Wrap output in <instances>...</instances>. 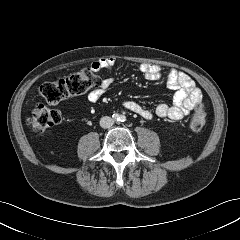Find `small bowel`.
Segmentation results:
<instances>
[{
	"label": "small bowel",
	"instance_id": "1",
	"mask_svg": "<svg viewBox=\"0 0 240 240\" xmlns=\"http://www.w3.org/2000/svg\"><path fill=\"white\" fill-rule=\"evenodd\" d=\"M115 63V58L106 57L92 62L90 68L93 71L111 70ZM138 70L145 79L150 81H158L162 79L164 75V70L160 66L148 63L140 64ZM166 76L167 85L175 90L172 104L161 103L158 104L154 110H150L134 100H125L123 106L127 110L147 120L155 116L172 120L183 118L200 103L202 99L201 89L195 84L190 76L175 69H169L166 72ZM113 81L112 77L101 79L98 85L88 94V100L91 102L98 101L112 86Z\"/></svg>",
	"mask_w": 240,
	"mask_h": 240
}]
</instances>
